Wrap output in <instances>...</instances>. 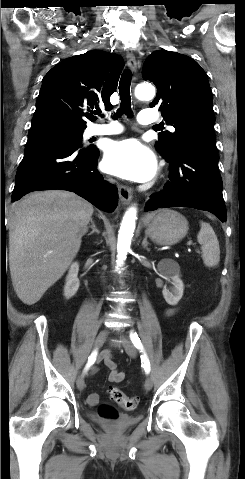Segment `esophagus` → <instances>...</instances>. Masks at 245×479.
<instances>
[{
    "label": "esophagus",
    "mask_w": 245,
    "mask_h": 479,
    "mask_svg": "<svg viewBox=\"0 0 245 479\" xmlns=\"http://www.w3.org/2000/svg\"><path fill=\"white\" fill-rule=\"evenodd\" d=\"M126 58H127V65L130 68L131 71L136 72L137 70V62L135 55L132 51V49H128L126 53ZM119 197L120 200L123 204H128L132 200V190L131 188L120 185L119 186Z\"/></svg>",
    "instance_id": "1"
}]
</instances>
